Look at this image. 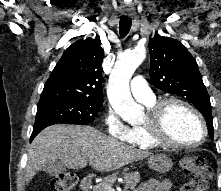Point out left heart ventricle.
I'll return each mask as SVG.
<instances>
[{"mask_svg":"<svg viewBox=\"0 0 221 191\" xmlns=\"http://www.w3.org/2000/svg\"><path fill=\"white\" fill-rule=\"evenodd\" d=\"M169 136L182 143H194L201 139L202 130L196 117L188 110L175 106L167 119Z\"/></svg>","mask_w":221,"mask_h":191,"instance_id":"obj_1","label":"left heart ventricle"}]
</instances>
